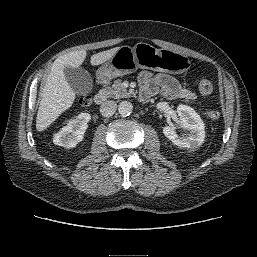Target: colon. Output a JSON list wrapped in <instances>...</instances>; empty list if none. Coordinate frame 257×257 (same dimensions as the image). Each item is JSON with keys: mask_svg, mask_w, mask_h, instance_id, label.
<instances>
[{"mask_svg": "<svg viewBox=\"0 0 257 257\" xmlns=\"http://www.w3.org/2000/svg\"><path fill=\"white\" fill-rule=\"evenodd\" d=\"M199 92L201 95L203 96H208L210 94H212L214 87L213 84L208 81V80H203L199 83L198 86ZM80 104L83 106H88L91 104V97L90 96H83L80 99ZM208 116L212 119V120H217L220 117V113L217 110H210L208 112Z\"/></svg>", "mask_w": 257, "mask_h": 257, "instance_id": "colon-1", "label": "colon"}]
</instances>
